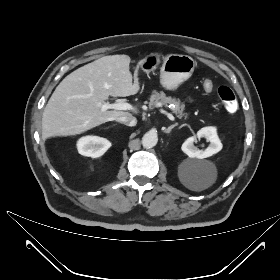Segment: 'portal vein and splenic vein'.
Returning a JSON list of instances; mask_svg holds the SVG:
<instances>
[{"instance_id": "1", "label": "portal vein and splenic vein", "mask_w": 280, "mask_h": 280, "mask_svg": "<svg viewBox=\"0 0 280 280\" xmlns=\"http://www.w3.org/2000/svg\"><path fill=\"white\" fill-rule=\"evenodd\" d=\"M99 107L101 108L102 111H106L108 109H115V110H133L134 107L125 102H117L113 104L109 103H98ZM162 113H164L171 121H175V117L171 114L168 113L164 110H161Z\"/></svg>"}]
</instances>
